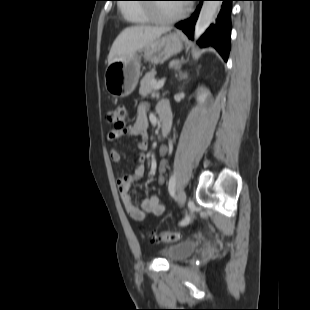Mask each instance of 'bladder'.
I'll use <instances>...</instances> for the list:
<instances>
[{
    "mask_svg": "<svg viewBox=\"0 0 310 310\" xmlns=\"http://www.w3.org/2000/svg\"><path fill=\"white\" fill-rule=\"evenodd\" d=\"M195 248V242L183 241L164 247L161 250V254L170 262H178L189 257L194 252Z\"/></svg>",
    "mask_w": 310,
    "mask_h": 310,
    "instance_id": "obj_1",
    "label": "bladder"
}]
</instances>
